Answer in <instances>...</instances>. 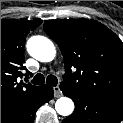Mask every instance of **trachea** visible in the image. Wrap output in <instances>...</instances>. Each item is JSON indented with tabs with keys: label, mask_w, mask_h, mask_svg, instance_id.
Wrapping results in <instances>:
<instances>
[{
	"label": "trachea",
	"mask_w": 123,
	"mask_h": 123,
	"mask_svg": "<svg viewBox=\"0 0 123 123\" xmlns=\"http://www.w3.org/2000/svg\"><path fill=\"white\" fill-rule=\"evenodd\" d=\"M32 82L36 85H40V84L45 83V78H44L43 74L38 73L35 75ZM46 82H47V84L55 87L58 83V80L55 76L49 75V76H47Z\"/></svg>",
	"instance_id": "obj_1"
}]
</instances>
